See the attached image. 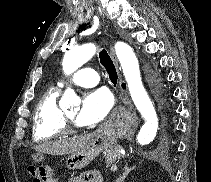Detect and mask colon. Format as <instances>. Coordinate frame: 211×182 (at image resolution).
<instances>
[{"label": "colon", "instance_id": "5ec220e1", "mask_svg": "<svg viewBox=\"0 0 211 182\" xmlns=\"http://www.w3.org/2000/svg\"><path fill=\"white\" fill-rule=\"evenodd\" d=\"M30 173L39 182H56L50 167H31Z\"/></svg>", "mask_w": 211, "mask_h": 182}]
</instances>
